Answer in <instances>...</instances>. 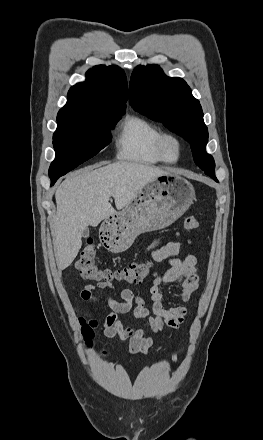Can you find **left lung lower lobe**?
Masks as SVG:
<instances>
[{
    "label": "left lung lower lobe",
    "mask_w": 263,
    "mask_h": 440,
    "mask_svg": "<svg viewBox=\"0 0 263 440\" xmlns=\"http://www.w3.org/2000/svg\"><path fill=\"white\" fill-rule=\"evenodd\" d=\"M216 182H218V180L217 179H214Z\"/></svg>",
    "instance_id": "obj_1"
}]
</instances>
